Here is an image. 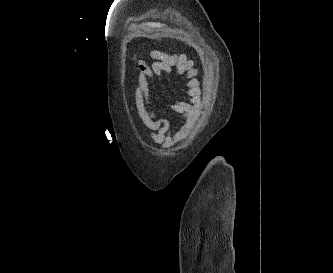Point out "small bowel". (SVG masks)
<instances>
[{
  "label": "small bowel",
  "instance_id": "obj_1",
  "mask_svg": "<svg viewBox=\"0 0 333 273\" xmlns=\"http://www.w3.org/2000/svg\"><path fill=\"white\" fill-rule=\"evenodd\" d=\"M148 56L155 60L149 66L144 60L137 62V83L135 86V101L142 129L152 140L164 148L170 147L174 140L187 130L194 116V110L200 105V88L198 71L184 54H167L158 50H151ZM173 67L178 75L184 76L187 87L186 102L175 105L174 110L184 117V124L177 134L172 135L170 124L166 119L159 118L151 106L150 83L156 82L163 75L169 74Z\"/></svg>",
  "mask_w": 333,
  "mask_h": 273
}]
</instances>
